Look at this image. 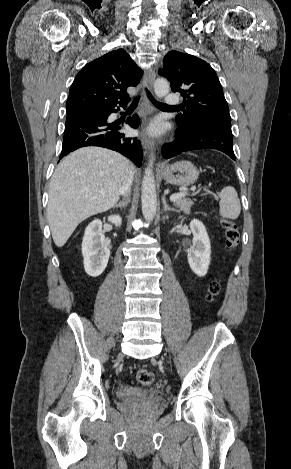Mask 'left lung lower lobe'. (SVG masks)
I'll use <instances>...</instances> for the list:
<instances>
[{"label":"left lung lower lobe","mask_w":291,"mask_h":469,"mask_svg":"<svg viewBox=\"0 0 291 469\" xmlns=\"http://www.w3.org/2000/svg\"><path fill=\"white\" fill-rule=\"evenodd\" d=\"M204 148L220 150L235 160L231 127L201 122L178 127L176 141L165 144L161 151L163 157L169 159L182 152Z\"/></svg>","instance_id":"left-lung-lower-lobe-1"}]
</instances>
